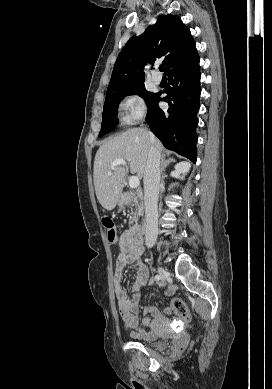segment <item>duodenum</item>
I'll return each mask as SVG.
<instances>
[{"label": "duodenum", "mask_w": 272, "mask_h": 389, "mask_svg": "<svg viewBox=\"0 0 272 389\" xmlns=\"http://www.w3.org/2000/svg\"><path fill=\"white\" fill-rule=\"evenodd\" d=\"M132 199V194L129 192L124 193L121 198L120 202L121 204H127L131 201ZM129 238L130 241L134 245H142L144 242V237H143V226L141 224H137L134 226L132 229L129 230Z\"/></svg>", "instance_id": "1"}]
</instances>
